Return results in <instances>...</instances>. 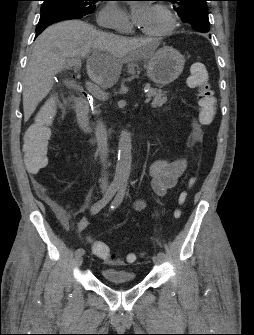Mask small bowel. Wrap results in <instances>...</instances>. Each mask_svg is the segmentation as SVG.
Segmentation results:
<instances>
[{"label":"small bowel","instance_id":"c3829d8e","mask_svg":"<svg viewBox=\"0 0 254 335\" xmlns=\"http://www.w3.org/2000/svg\"><path fill=\"white\" fill-rule=\"evenodd\" d=\"M186 165L187 163L185 159H178L172 161L160 159L154 161L150 167V174L152 176V189L154 193L158 196H165L169 190H171L176 186L178 179L185 172ZM31 173H37V172H31ZM137 207L141 208L142 203H138ZM60 222L65 228H69L70 217L69 216L62 217L60 218ZM88 224H89L88 218H82L76 227V231L81 232L85 230ZM92 251L95 254L93 248Z\"/></svg>","mask_w":254,"mask_h":335}]
</instances>
